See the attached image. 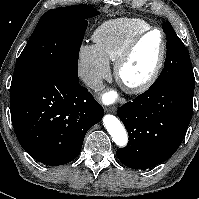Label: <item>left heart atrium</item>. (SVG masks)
<instances>
[{"instance_id":"39dd6f15","label":"left heart atrium","mask_w":199,"mask_h":199,"mask_svg":"<svg viewBox=\"0 0 199 199\" xmlns=\"http://www.w3.org/2000/svg\"><path fill=\"white\" fill-rule=\"evenodd\" d=\"M116 99V94L114 92H109L104 95V100L106 102H113Z\"/></svg>"}]
</instances>
